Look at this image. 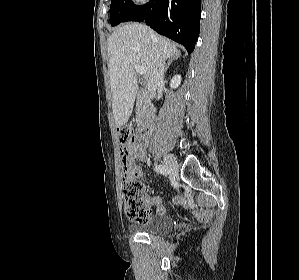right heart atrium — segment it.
<instances>
[{"label": "right heart atrium", "mask_w": 299, "mask_h": 280, "mask_svg": "<svg viewBox=\"0 0 299 280\" xmlns=\"http://www.w3.org/2000/svg\"><path fill=\"white\" fill-rule=\"evenodd\" d=\"M148 0H134V2L138 5H142L144 3H146Z\"/></svg>", "instance_id": "d8ad5b80"}]
</instances>
